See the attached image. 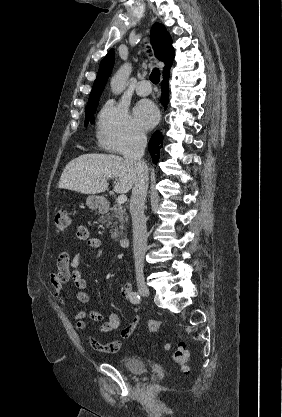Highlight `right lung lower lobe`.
Returning <instances> with one entry per match:
<instances>
[{
	"mask_svg": "<svg viewBox=\"0 0 282 417\" xmlns=\"http://www.w3.org/2000/svg\"><path fill=\"white\" fill-rule=\"evenodd\" d=\"M170 70V69H169ZM169 70L163 72V81L161 83L162 86V99L161 102L163 103L165 109H166V105L168 103V79H169ZM162 144V133L160 131H156L150 141H149V151L152 157V161L153 163L157 164L158 160H159V154H160V147Z\"/></svg>",
	"mask_w": 282,
	"mask_h": 417,
	"instance_id": "98d812e1",
	"label": "right lung lower lobe"
}]
</instances>
